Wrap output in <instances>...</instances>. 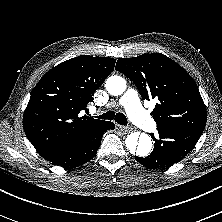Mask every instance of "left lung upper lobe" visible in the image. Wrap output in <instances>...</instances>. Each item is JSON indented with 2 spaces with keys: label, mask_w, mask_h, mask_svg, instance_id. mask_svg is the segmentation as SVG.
I'll return each mask as SVG.
<instances>
[{
  "label": "left lung upper lobe",
  "mask_w": 222,
  "mask_h": 222,
  "mask_svg": "<svg viewBox=\"0 0 222 222\" xmlns=\"http://www.w3.org/2000/svg\"><path fill=\"white\" fill-rule=\"evenodd\" d=\"M117 71L133 81L143 99H155L151 112L157 126L186 128L203 133L207 112L192 77L161 53L119 59Z\"/></svg>",
  "instance_id": "1"
}]
</instances>
